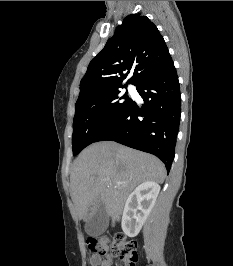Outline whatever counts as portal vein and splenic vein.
Segmentation results:
<instances>
[{"label": "portal vein and splenic vein", "mask_w": 233, "mask_h": 266, "mask_svg": "<svg viewBox=\"0 0 233 266\" xmlns=\"http://www.w3.org/2000/svg\"><path fill=\"white\" fill-rule=\"evenodd\" d=\"M104 181L108 182V181H109V179H104ZM122 184H123L122 182H119V181H118V182H116V185H117V186H120V185H122Z\"/></svg>", "instance_id": "portal-vein-and-splenic-vein-1"}]
</instances>
